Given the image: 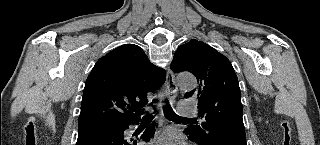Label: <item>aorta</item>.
<instances>
[{
  "label": "aorta",
  "instance_id": "1",
  "mask_svg": "<svg viewBox=\"0 0 320 145\" xmlns=\"http://www.w3.org/2000/svg\"><path fill=\"white\" fill-rule=\"evenodd\" d=\"M178 85L181 89L191 90L196 86V79L191 74L182 73L178 75Z\"/></svg>",
  "mask_w": 320,
  "mask_h": 145
}]
</instances>
